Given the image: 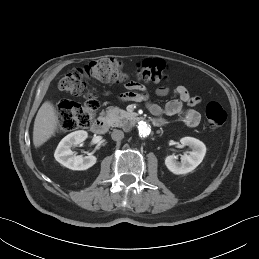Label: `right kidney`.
<instances>
[{
  "label": "right kidney",
  "instance_id": "right-kidney-1",
  "mask_svg": "<svg viewBox=\"0 0 259 259\" xmlns=\"http://www.w3.org/2000/svg\"><path fill=\"white\" fill-rule=\"evenodd\" d=\"M87 136L88 134L84 130L75 131L65 136L55 150L54 157L56 161L72 170H86L92 167L97 161L95 156H76L73 155L71 150V147L85 141Z\"/></svg>",
  "mask_w": 259,
  "mask_h": 259
}]
</instances>
